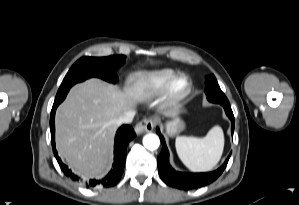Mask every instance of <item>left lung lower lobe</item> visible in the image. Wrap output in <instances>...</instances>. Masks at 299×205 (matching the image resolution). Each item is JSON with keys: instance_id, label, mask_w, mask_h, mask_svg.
<instances>
[{"instance_id": "left-lung-lower-lobe-1", "label": "left lung lower lobe", "mask_w": 299, "mask_h": 205, "mask_svg": "<svg viewBox=\"0 0 299 205\" xmlns=\"http://www.w3.org/2000/svg\"><path fill=\"white\" fill-rule=\"evenodd\" d=\"M221 104L226 112V115L231 119L232 122V135L234 132V115L231 110L228 100H223L220 102H214ZM157 133L159 134L160 140L162 142V152L158 156V170L159 176L168 186L181 189V190H190L197 189L202 186L208 185L215 181L224 171L230 155L225 160L224 164L213 172L208 173H182L175 171L169 164V152L165 144L164 137L160 134L159 129L157 128Z\"/></svg>"}]
</instances>
